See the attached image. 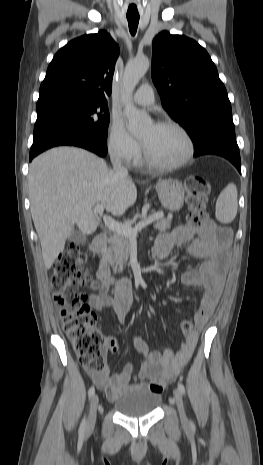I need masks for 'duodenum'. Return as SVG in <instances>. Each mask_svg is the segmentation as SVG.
<instances>
[{
  "label": "duodenum",
  "instance_id": "obj_1",
  "mask_svg": "<svg viewBox=\"0 0 263 465\" xmlns=\"http://www.w3.org/2000/svg\"><path fill=\"white\" fill-rule=\"evenodd\" d=\"M107 240L108 238L106 234H99L95 236L89 245L90 251L98 256H101L106 248ZM97 278L103 283L110 282L109 269L103 260L100 261L99 268L97 270Z\"/></svg>",
  "mask_w": 263,
  "mask_h": 465
}]
</instances>
